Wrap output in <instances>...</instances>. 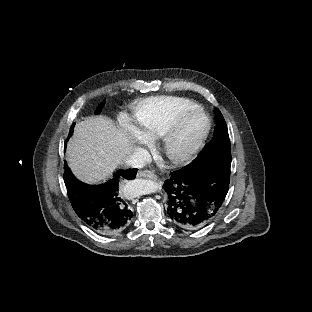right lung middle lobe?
<instances>
[{
    "mask_svg": "<svg viewBox=\"0 0 312 312\" xmlns=\"http://www.w3.org/2000/svg\"><path fill=\"white\" fill-rule=\"evenodd\" d=\"M104 104H105V102H102V103L98 106V108H97L95 114H99V113H100V111L102 110ZM74 126H75V124H73V125L71 126L68 138H70V136L73 134ZM67 141H68V139H67Z\"/></svg>",
    "mask_w": 312,
    "mask_h": 312,
    "instance_id": "1",
    "label": "right lung middle lobe"
}]
</instances>
